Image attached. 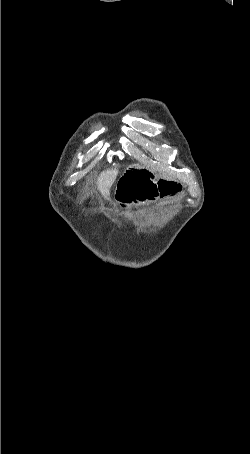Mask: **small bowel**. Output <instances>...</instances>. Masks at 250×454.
I'll return each mask as SVG.
<instances>
[{"mask_svg": "<svg viewBox=\"0 0 250 454\" xmlns=\"http://www.w3.org/2000/svg\"><path fill=\"white\" fill-rule=\"evenodd\" d=\"M180 191L179 184L155 179L150 173L129 171L118 181L115 198L122 205L142 204L171 197Z\"/></svg>", "mask_w": 250, "mask_h": 454, "instance_id": "obj_1", "label": "small bowel"}]
</instances>
